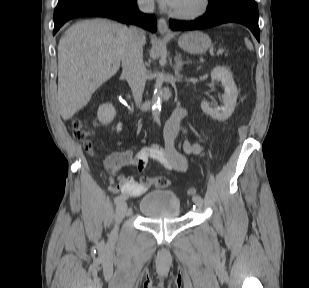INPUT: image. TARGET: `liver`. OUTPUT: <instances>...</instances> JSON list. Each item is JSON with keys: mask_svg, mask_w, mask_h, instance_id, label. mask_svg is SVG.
Instances as JSON below:
<instances>
[{"mask_svg": "<svg viewBox=\"0 0 309 288\" xmlns=\"http://www.w3.org/2000/svg\"><path fill=\"white\" fill-rule=\"evenodd\" d=\"M128 31L105 19L80 21L66 30L58 45L57 103L64 120L86 106L96 89L117 73Z\"/></svg>", "mask_w": 309, "mask_h": 288, "instance_id": "1", "label": "liver"}]
</instances>
